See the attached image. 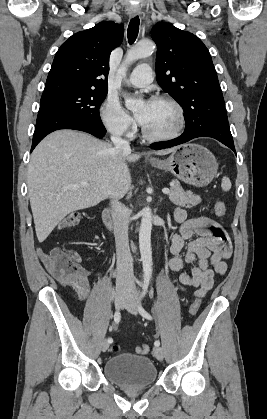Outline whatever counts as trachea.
Segmentation results:
<instances>
[{"instance_id": "trachea-1", "label": "trachea", "mask_w": 267, "mask_h": 419, "mask_svg": "<svg viewBox=\"0 0 267 419\" xmlns=\"http://www.w3.org/2000/svg\"><path fill=\"white\" fill-rule=\"evenodd\" d=\"M139 24L140 20L139 17L136 16L130 20L128 30H127V37L129 44H133L138 36L139 32Z\"/></svg>"}]
</instances>
